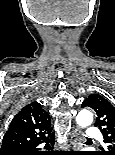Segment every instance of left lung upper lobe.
<instances>
[{
  "mask_svg": "<svg viewBox=\"0 0 115 155\" xmlns=\"http://www.w3.org/2000/svg\"><path fill=\"white\" fill-rule=\"evenodd\" d=\"M83 107L93 109L96 114L95 126H98L103 134L105 149L98 151L95 155H115V107L104 97L93 94L82 103Z\"/></svg>",
  "mask_w": 115,
  "mask_h": 155,
  "instance_id": "left-lung-upper-lobe-1",
  "label": "left lung upper lobe"
}]
</instances>
